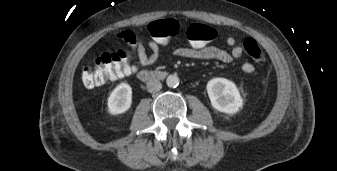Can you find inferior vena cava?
<instances>
[{
  "label": "inferior vena cava",
  "instance_id": "602c4592",
  "mask_svg": "<svg viewBox=\"0 0 337 171\" xmlns=\"http://www.w3.org/2000/svg\"><path fill=\"white\" fill-rule=\"evenodd\" d=\"M162 88V84L157 79H152L147 83V90L150 93H156L159 92Z\"/></svg>",
  "mask_w": 337,
  "mask_h": 171
}]
</instances>
